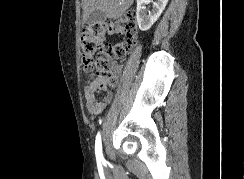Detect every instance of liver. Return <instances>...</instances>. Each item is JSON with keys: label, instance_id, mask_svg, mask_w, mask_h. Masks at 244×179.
<instances>
[{"label": "liver", "instance_id": "6515ba94", "mask_svg": "<svg viewBox=\"0 0 244 179\" xmlns=\"http://www.w3.org/2000/svg\"><path fill=\"white\" fill-rule=\"evenodd\" d=\"M133 2L134 0H82L83 20L86 22L94 10L104 12L106 18H110V20H117L125 14Z\"/></svg>", "mask_w": 244, "mask_h": 179}]
</instances>
